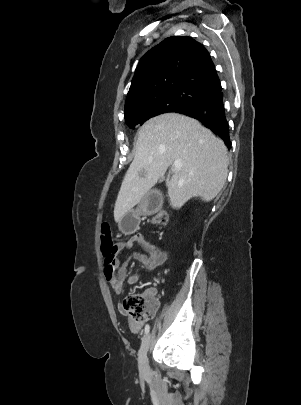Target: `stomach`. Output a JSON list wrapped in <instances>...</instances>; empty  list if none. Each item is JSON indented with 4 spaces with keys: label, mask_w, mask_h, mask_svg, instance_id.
<instances>
[{
    "label": "stomach",
    "mask_w": 301,
    "mask_h": 405,
    "mask_svg": "<svg viewBox=\"0 0 301 405\" xmlns=\"http://www.w3.org/2000/svg\"><path fill=\"white\" fill-rule=\"evenodd\" d=\"M138 222H139V214L133 210H130L120 220L119 228L123 232L132 231L137 226ZM130 225H133V227H130Z\"/></svg>",
    "instance_id": "stomach-1"
}]
</instances>
